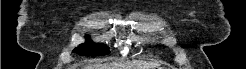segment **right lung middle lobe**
I'll use <instances>...</instances> for the list:
<instances>
[{"label": "right lung middle lobe", "mask_w": 246, "mask_h": 69, "mask_svg": "<svg viewBox=\"0 0 246 69\" xmlns=\"http://www.w3.org/2000/svg\"><path fill=\"white\" fill-rule=\"evenodd\" d=\"M73 52L86 56L106 55L110 53L107 46L95 44L89 38L85 43L75 48Z\"/></svg>", "instance_id": "obj_1"}]
</instances>
